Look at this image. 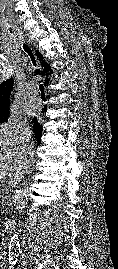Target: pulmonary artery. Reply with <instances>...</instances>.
<instances>
[{
	"label": "pulmonary artery",
	"instance_id": "1",
	"mask_svg": "<svg viewBox=\"0 0 118 269\" xmlns=\"http://www.w3.org/2000/svg\"><path fill=\"white\" fill-rule=\"evenodd\" d=\"M29 101H30L31 103H33V104H38V103H39V99L36 98V97H31V98L29 99Z\"/></svg>",
	"mask_w": 118,
	"mask_h": 269
}]
</instances>
